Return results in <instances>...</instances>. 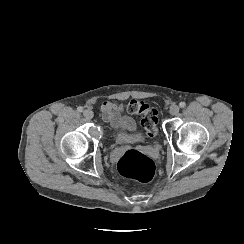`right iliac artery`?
<instances>
[{"instance_id": "obj_1", "label": "right iliac artery", "mask_w": 244, "mask_h": 244, "mask_svg": "<svg viewBox=\"0 0 244 244\" xmlns=\"http://www.w3.org/2000/svg\"><path fill=\"white\" fill-rule=\"evenodd\" d=\"M77 111H78V112H82V111H83V107L79 106V107L77 108Z\"/></svg>"}]
</instances>
